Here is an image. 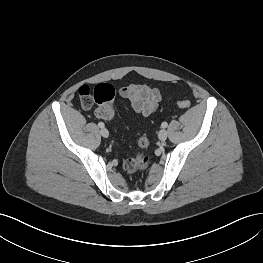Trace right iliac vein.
<instances>
[{
  "label": "right iliac vein",
  "instance_id": "1",
  "mask_svg": "<svg viewBox=\"0 0 263 263\" xmlns=\"http://www.w3.org/2000/svg\"><path fill=\"white\" fill-rule=\"evenodd\" d=\"M100 134L102 137L107 138L109 136V131L106 128H102Z\"/></svg>",
  "mask_w": 263,
  "mask_h": 263
}]
</instances>
